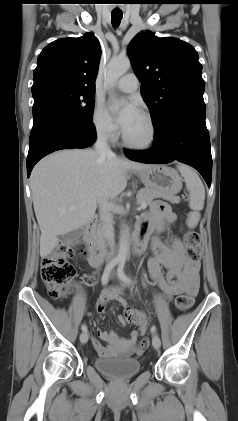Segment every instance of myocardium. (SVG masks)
Here are the masks:
<instances>
[{
  "label": "myocardium",
  "mask_w": 238,
  "mask_h": 421,
  "mask_svg": "<svg viewBox=\"0 0 238 421\" xmlns=\"http://www.w3.org/2000/svg\"><path fill=\"white\" fill-rule=\"evenodd\" d=\"M139 113L144 117V119L147 121L148 126H149V138L147 139V141L143 143H134L127 138V136L124 133V130H122L121 132V137H122L123 144L126 147L133 150H137V151H146L153 148V146L155 145L156 138H157V129H156L155 122L152 116L150 115V113L143 110L140 111Z\"/></svg>",
  "instance_id": "myocardium-1"
}]
</instances>
